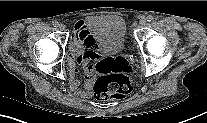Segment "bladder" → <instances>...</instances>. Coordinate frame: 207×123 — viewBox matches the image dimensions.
I'll list each match as a JSON object with an SVG mask.
<instances>
[{"label":"bladder","mask_w":207,"mask_h":123,"mask_svg":"<svg viewBox=\"0 0 207 123\" xmlns=\"http://www.w3.org/2000/svg\"><path fill=\"white\" fill-rule=\"evenodd\" d=\"M87 27L96 46L105 52L118 51L125 42L126 24L117 15L92 16Z\"/></svg>","instance_id":"1"}]
</instances>
